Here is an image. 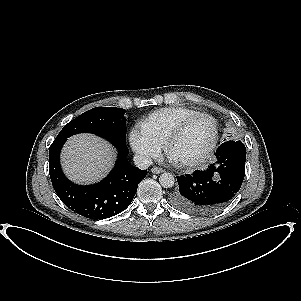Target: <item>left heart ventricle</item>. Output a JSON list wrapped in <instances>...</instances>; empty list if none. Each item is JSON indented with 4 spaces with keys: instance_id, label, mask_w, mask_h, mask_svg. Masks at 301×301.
Listing matches in <instances>:
<instances>
[{
    "instance_id": "left-heart-ventricle-1",
    "label": "left heart ventricle",
    "mask_w": 301,
    "mask_h": 301,
    "mask_svg": "<svg viewBox=\"0 0 301 301\" xmlns=\"http://www.w3.org/2000/svg\"><path fill=\"white\" fill-rule=\"evenodd\" d=\"M213 135L212 123L207 119L192 122L183 135L174 142L170 155L182 162L193 160L204 153Z\"/></svg>"
}]
</instances>
